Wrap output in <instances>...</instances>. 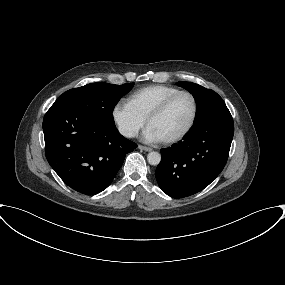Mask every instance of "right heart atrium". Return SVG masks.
<instances>
[{
	"label": "right heart atrium",
	"mask_w": 285,
	"mask_h": 285,
	"mask_svg": "<svg viewBox=\"0 0 285 285\" xmlns=\"http://www.w3.org/2000/svg\"><path fill=\"white\" fill-rule=\"evenodd\" d=\"M112 118L120 134L126 138L135 137L145 125V120L126 101L113 106Z\"/></svg>",
	"instance_id": "right-heart-atrium-1"
}]
</instances>
